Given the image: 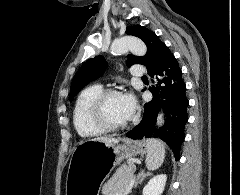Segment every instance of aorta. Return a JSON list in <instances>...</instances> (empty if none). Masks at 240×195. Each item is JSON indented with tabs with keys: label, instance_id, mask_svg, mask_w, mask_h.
I'll use <instances>...</instances> for the list:
<instances>
[{
	"label": "aorta",
	"instance_id": "762f6f07",
	"mask_svg": "<svg viewBox=\"0 0 240 195\" xmlns=\"http://www.w3.org/2000/svg\"><path fill=\"white\" fill-rule=\"evenodd\" d=\"M111 54H126L131 52L134 56H145L147 48L139 38H121L119 42H113L111 48ZM164 123L163 113H158L157 125Z\"/></svg>",
	"mask_w": 240,
	"mask_h": 195
}]
</instances>
